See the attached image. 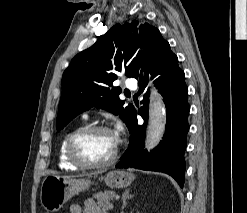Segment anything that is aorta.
Returning <instances> with one entry per match:
<instances>
[{"instance_id": "1", "label": "aorta", "mask_w": 247, "mask_h": 213, "mask_svg": "<svg viewBox=\"0 0 247 213\" xmlns=\"http://www.w3.org/2000/svg\"><path fill=\"white\" fill-rule=\"evenodd\" d=\"M166 128V108L161 95L152 86L149 103V123L145 148L151 150L162 140Z\"/></svg>"}]
</instances>
